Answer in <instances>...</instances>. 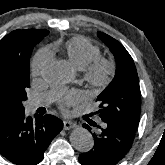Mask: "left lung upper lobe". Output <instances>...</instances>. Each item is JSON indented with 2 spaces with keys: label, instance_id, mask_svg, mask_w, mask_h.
Masks as SVG:
<instances>
[{
  "label": "left lung upper lobe",
  "instance_id": "obj_1",
  "mask_svg": "<svg viewBox=\"0 0 165 165\" xmlns=\"http://www.w3.org/2000/svg\"><path fill=\"white\" fill-rule=\"evenodd\" d=\"M116 60V74L108 87L98 96V114L104 123H112L136 132L140 119L141 93L134 61L124 46L111 36L98 32Z\"/></svg>",
  "mask_w": 165,
  "mask_h": 165
}]
</instances>
